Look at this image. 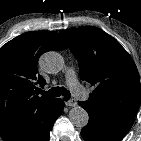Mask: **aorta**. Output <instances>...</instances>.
<instances>
[{"instance_id":"obj_1","label":"aorta","mask_w":141,"mask_h":141,"mask_svg":"<svg viewBox=\"0 0 141 141\" xmlns=\"http://www.w3.org/2000/svg\"><path fill=\"white\" fill-rule=\"evenodd\" d=\"M39 62H40L41 68L49 74H56L63 67V58L59 53L55 51H49V52L44 53L40 57ZM68 116H69L71 123L75 127H78V128L85 127L89 121V115L87 111L80 106L73 107L69 111Z\"/></svg>"}]
</instances>
